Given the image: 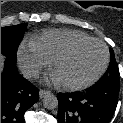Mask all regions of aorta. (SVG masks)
Returning a JSON list of instances; mask_svg holds the SVG:
<instances>
[{"label": "aorta", "mask_w": 123, "mask_h": 123, "mask_svg": "<svg viewBox=\"0 0 123 123\" xmlns=\"http://www.w3.org/2000/svg\"><path fill=\"white\" fill-rule=\"evenodd\" d=\"M43 106L49 110L57 108L58 106L57 97L52 93H46L43 97Z\"/></svg>", "instance_id": "1"}]
</instances>
